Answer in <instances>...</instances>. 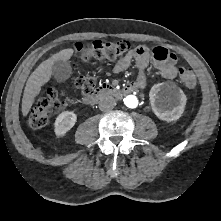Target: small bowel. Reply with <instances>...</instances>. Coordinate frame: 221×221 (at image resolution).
I'll list each match as a JSON object with an SVG mask.
<instances>
[{
	"label": "small bowel",
	"mask_w": 221,
	"mask_h": 221,
	"mask_svg": "<svg viewBox=\"0 0 221 221\" xmlns=\"http://www.w3.org/2000/svg\"><path fill=\"white\" fill-rule=\"evenodd\" d=\"M153 59L154 66L160 75L165 79H174L178 73L177 57L164 47H156L149 51L146 46L140 45L129 51L126 56L121 58L114 66L113 73L118 74L129 68L131 63L135 61L139 70L136 81L132 84L136 89H144L146 87L145 69L148 67L150 60Z\"/></svg>",
	"instance_id": "c3829d8e"
}]
</instances>
